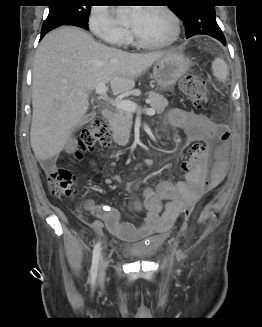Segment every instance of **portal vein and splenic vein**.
<instances>
[{
	"label": "portal vein and splenic vein",
	"instance_id": "18ae733b",
	"mask_svg": "<svg viewBox=\"0 0 262 327\" xmlns=\"http://www.w3.org/2000/svg\"><path fill=\"white\" fill-rule=\"evenodd\" d=\"M95 92L99 95L100 98L111 104L112 106L122 109L127 112L134 113L138 110V105L132 101L129 100H118V99H110L107 96V87L104 83H100L96 86ZM145 113L147 115H154L155 114V109L154 108H149L145 109Z\"/></svg>",
	"mask_w": 262,
	"mask_h": 327
}]
</instances>
